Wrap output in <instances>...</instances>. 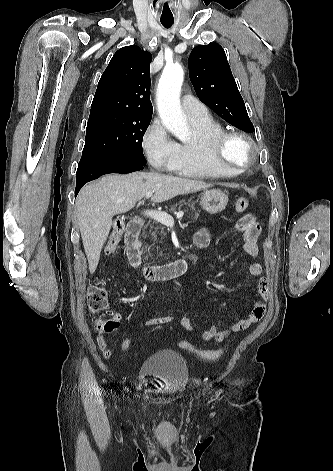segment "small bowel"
I'll return each instance as SVG.
<instances>
[{
	"mask_svg": "<svg viewBox=\"0 0 333 471\" xmlns=\"http://www.w3.org/2000/svg\"><path fill=\"white\" fill-rule=\"evenodd\" d=\"M236 231L243 234L245 252L256 257L258 255V238L260 234V225L251 215H245L241 217L236 224ZM210 243V234L207 229L201 228L194 235V244L197 248H206ZM249 272L251 275L259 277L258 293L260 298L255 301L253 308L248 316L236 321L231 324L225 330H219L216 325L209 326L201 334V337L205 341L215 340L217 342H223L228 336L234 333H238L248 329L251 325L259 322L265 315L267 309V303L270 298V283L267 277L263 275V267L259 263H252L249 266ZM112 319L119 321L121 315L119 313H113ZM146 326H159V325H176L187 332L193 330V325L189 318L181 317L175 318L172 316H158L149 317L145 320ZM96 342L99 349L103 352L105 358L112 356V351L108 347V343L104 334L99 333L96 337Z\"/></svg>",
	"mask_w": 333,
	"mask_h": 471,
	"instance_id": "small-bowel-1",
	"label": "small bowel"
}]
</instances>
